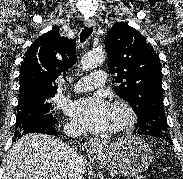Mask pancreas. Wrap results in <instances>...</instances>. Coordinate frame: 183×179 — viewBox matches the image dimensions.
Instances as JSON below:
<instances>
[{"label":"pancreas","instance_id":"cf45deb5","mask_svg":"<svg viewBox=\"0 0 183 179\" xmlns=\"http://www.w3.org/2000/svg\"><path fill=\"white\" fill-rule=\"evenodd\" d=\"M135 179H146V177H144V176H137V177H135Z\"/></svg>","mask_w":183,"mask_h":179}]
</instances>
